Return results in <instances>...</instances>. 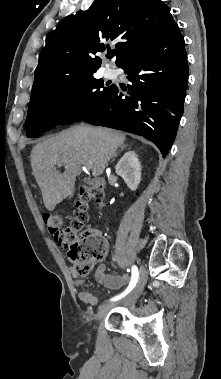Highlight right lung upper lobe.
<instances>
[{
    "instance_id": "1",
    "label": "right lung upper lobe",
    "mask_w": 221,
    "mask_h": 379,
    "mask_svg": "<svg viewBox=\"0 0 221 379\" xmlns=\"http://www.w3.org/2000/svg\"><path fill=\"white\" fill-rule=\"evenodd\" d=\"M175 21L161 0H96L91 7L61 20L39 56L31 98L48 85L96 72L98 52L113 50L118 65L125 57L170 30Z\"/></svg>"
}]
</instances>
